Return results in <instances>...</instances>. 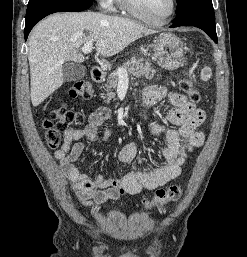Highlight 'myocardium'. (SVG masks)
Segmentation results:
<instances>
[{"label": "myocardium", "instance_id": "myocardium-1", "mask_svg": "<svg viewBox=\"0 0 247 257\" xmlns=\"http://www.w3.org/2000/svg\"><path fill=\"white\" fill-rule=\"evenodd\" d=\"M123 7L134 17L140 19L141 21L153 25V26H163L167 24L175 14L177 8V1L171 0V6L169 12L162 19H152L144 15L136 6L134 0H122Z\"/></svg>", "mask_w": 247, "mask_h": 257}]
</instances>
